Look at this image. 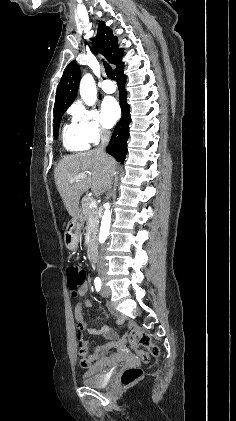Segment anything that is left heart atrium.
<instances>
[{"label": "left heart atrium", "mask_w": 236, "mask_h": 421, "mask_svg": "<svg viewBox=\"0 0 236 421\" xmlns=\"http://www.w3.org/2000/svg\"><path fill=\"white\" fill-rule=\"evenodd\" d=\"M102 112L104 116V121L108 126L114 125L121 115V110L118 105V102L113 97H107L103 100Z\"/></svg>", "instance_id": "obj_1"}]
</instances>
